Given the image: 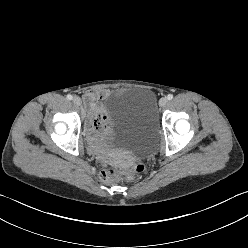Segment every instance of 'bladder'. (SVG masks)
<instances>
[{"label":"bladder","mask_w":248,"mask_h":248,"mask_svg":"<svg viewBox=\"0 0 248 248\" xmlns=\"http://www.w3.org/2000/svg\"><path fill=\"white\" fill-rule=\"evenodd\" d=\"M109 128L105 143L111 149H124L142 156L154 150L158 124L154 94L144 88L129 89L105 104Z\"/></svg>","instance_id":"1"}]
</instances>
